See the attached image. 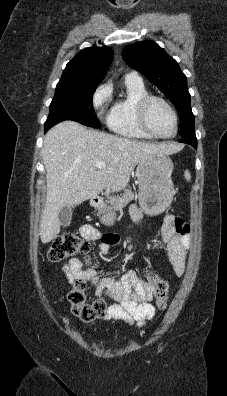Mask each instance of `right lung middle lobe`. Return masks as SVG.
<instances>
[{
    "label": "right lung middle lobe",
    "mask_w": 227,
    "mask_h": 396,
    "mask_svg": "<svg viewBox=\"0 0 227 396\" xmlns=\"http://www.w3.org/2000/svg\"><path fill=\"white\" fill-rule=\"evenodd\" d=\"M98 84L99 82H75L60 79L45 124L73 120L85 126L101 127L92 102Z\"/></svg>",
    "instance_id": "1"
}]
</instances>
